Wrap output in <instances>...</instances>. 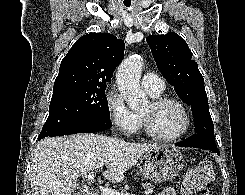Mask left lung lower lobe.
<instances>
[{
	"mask_svg": "<svg viewBox=\"0 0 245 195\" xmlns=\"http://www.w3.org/2000/svg\"><path fill=\"white\" fill-rule=\"evenodd\" d=\"M177 146L183 147H195L205 150L212 151L220 155V152L216 146L215 140L210 139L208 136L203 134H194L187 139L176 144Z\"/></svg>",
	"mask_w": 245,
	"mask_h": 195,
	"instance_id": "left-lung-lower-lobe-1",
	"label": "left lung lower lobe"
}]
</instances>
